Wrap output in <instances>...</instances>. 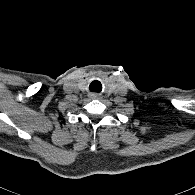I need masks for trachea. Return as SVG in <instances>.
Segmentation results:
<instances>
[{"mask_svg":"<svg viewBox=\"0 0 195 195\" xmlns=\"http://www.w3.org/2000/svg\"><path fill=\"white\" fill-rule=\"evenodd\" d=\"M91 86H92V84L89 86L90 90H91Z\"/></svg>","mask_w":195,"mask_h":195,"instance_id":"trachea-1","label":"trachea"}]
</instances>
